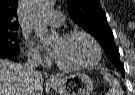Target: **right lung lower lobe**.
<instances>
[{"label": "right lung lower lobe", "instance_id": "1", "mask_svg": "<svg viewBox=\"0 0 135 95\" xmlns=\"http://www.w3.org/2000/svg\"><path fill=\"white\" fill-rule=\"evenodd\" d=\"M18 54L19 49L13 51H0V58H11L17 56Z\"/></svg>", "mask_w": 135, "mask_h": 95}]
</instances>
